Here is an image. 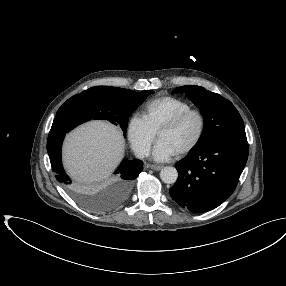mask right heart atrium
<instances>
[{
	"label": "right heart atrium",
	"mask_w": 286,
	"mask_h": 286,
	"mask_svg": "<svg viewBox=\"0 0 286 286\" xmlns=\"http://www.w3.org/2000/svg\"><path fill=\"white\" fill-rule=\"evenodd\" d=\"M126 134L131 148L141 158L148 156L156 133L141 115L132 116L127 124Z\"/></svg>",
	"instance_id": "d8ad5b80"
}]
</instances>
